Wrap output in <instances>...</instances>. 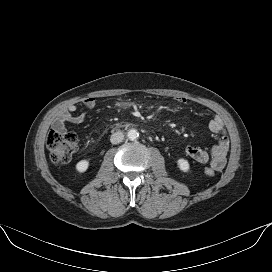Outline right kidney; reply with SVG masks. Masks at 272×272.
<instances>
[{"mask_svg":"<svg viewBox=\"0 0 272 272\" xmlns=\"http://www.w3.org/2000/svg\"><path fill=\"white\" fill-rule=\"evenodd\" d=\"M89 167V161L88 160H81L76 164V170L79 173H84Z\"/></svg>","mask_w":272,"mask_h":272,"instance_id":"ca27d5eb","label":"right kidney"}]
</instances>
